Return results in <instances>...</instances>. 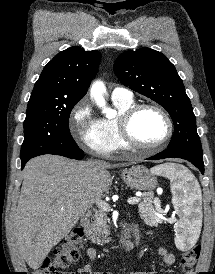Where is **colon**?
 I'll return each mask as SVG.
<instances>
[{"label": "colon", "instance_id": "obj_1", "mask_svg": "<svg viewBox=\"0 0 215 274\" xmlns=\"http://www.w3.org/2000/svg\"><path fill=\"white\" fill-rule=\"evenodd\" d=\"M82 248L83 231L81 228H74L66 235L61 245L55 249L53 257L45 259L41 268L33 272V274H73L62 272L61 270L72 265L78 258ZM199 255V246H194L182 254L181 266L185 274H193V268Z\"/></svg>", "mask_w": 215, "mask_h": 274}]
</instances>
